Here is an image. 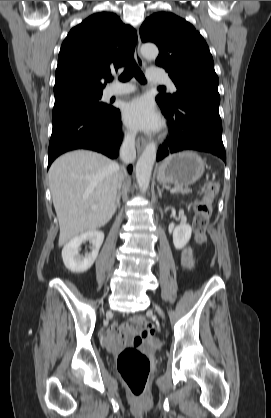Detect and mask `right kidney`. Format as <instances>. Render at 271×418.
<instances>
[{"instance_id": "ca27d5eb", "label": "right kidney", "mask_w": 271, "mask_h": 418, "mask_svg": "<svg viewBox=\"0 0 271 418\" xmlns=\"http://www.w3.org/2000/svg\"><path fill=\"white\" fill-rule=\"evenodd\" d=\"M103 240L104 233L98 230L87 231L71 239L62 250V258L66 268L75 273L87 271L96 260ZM85 241L92 243V252L82 257L79 255V250Z\"/></svg>"}]
</instances>
